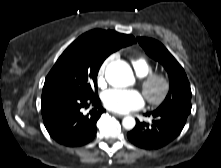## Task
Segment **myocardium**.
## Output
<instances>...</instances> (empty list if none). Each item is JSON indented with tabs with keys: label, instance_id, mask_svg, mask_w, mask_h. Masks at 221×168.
<instances>
[{
	"label": "myocardium",
	"instance_id": "myocardium-1",
	"mask_svg": "<svg viewBox=\"0 0 221 168\" xmlns=\"http://www.w3.org/2000/svg\"><path fill=\"white\" fill-rule=\"evenodd\" d=\"M156 85L159 86V91L157 94H153V87ZM141 87L148 103L152 106H158L169 96L171 82L164 73L155 72L143 77Z\"/></svg>",
	"mask_w": 221,
	"mask_h": 168
}]
</instances>
